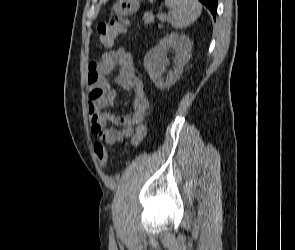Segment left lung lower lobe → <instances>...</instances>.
<instances>
[{"instance_id": "0a47b994", "label": "left lung lower lobe", "mask_w": 295, "mask_h": 250, "mask_svg": "<svg viewBox=\"0 0 295 250\" xmlns=\"http://www.w3.org/2000/svg\"><path fill=\"white\" fill-rule=\"evenodd\" d=\"M203 3L212 13L213 17H216L217 0H199Z\"/></svg>"}]
</instances>
